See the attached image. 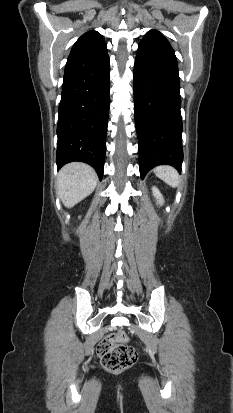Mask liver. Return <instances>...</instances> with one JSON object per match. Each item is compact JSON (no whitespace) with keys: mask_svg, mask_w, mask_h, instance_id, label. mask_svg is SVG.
Wrapping results in <instances>:
<instances>
[{"mask_svg":"<svg viewBox=\"0 0 233 413\" xmlns=\"http://www.w3.org/2000/svg\"><path fill=\"white\" fill-rule=\"evenodd\" d=\"M97 180L89 165L81 162L67 164L58 173L57 194L67 208L73 207L94 191Z\"/></svg>","mask_w":233,"mask_h":413,"instance_id":"1","label":"liver"}]
</instances>
